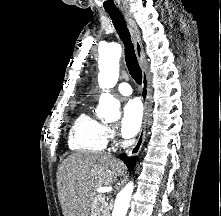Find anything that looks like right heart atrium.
Masks as SVG:
<instances>
[{
    "label": "right heart atrium",
    "instance_id": "d8ad5b80",
    "mask_svg": "<svg viewBox=\"0 0 221 216\" xmlns=\"http://www.w3.org/2000/svg\"><path fill=\"white\" fill-rule=\"evenodd\" d=\"M107 139L113 140L115 138V131L111 127H106Z\"/></svg>",
    "mask_w": 221,
    "mask_h": 216
}]
</instances>
